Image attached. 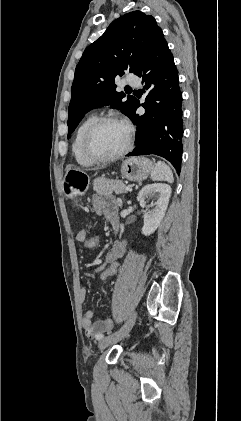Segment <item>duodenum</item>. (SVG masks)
<instances>
[{
    "label": "duodenum",
    "mask_w": 241,
    "mask_h": 421,
    "mask_svg": "<svg viewBox=\"0 0 241 421\" xmlns=\"http://www.w3.org/2000/svg\"><path fill=\"white\" fill-rule=\"evenodd\" d=\"M110 221H111V223H112V225H113L114 227H117V226H118V218H117L116 216L112 217V218L110 219Z\"/></svg>",
    "instance_id": "410a0bca"
}]
</instances>
